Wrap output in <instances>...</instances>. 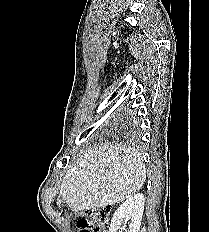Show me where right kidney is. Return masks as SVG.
I'll use <instances>...</instances> for the list:
<instances>
[{"mask_svg":"<svg viewBox=\"0 0 209 232\" xmlns=\"http://www.w3.org/2000/svg\"><path fill=\"white\" fill-rule=\"evenodd\" d=\"M144 202L145 198L142 193L129 197L115 211L109 232H139L144 211ZM127 221H129L128 230H126V225H124Z\"/></svg>","mask_w":209,"mask_h":232,"instance_id":"1","label":"right kidney"}]
</instances>
